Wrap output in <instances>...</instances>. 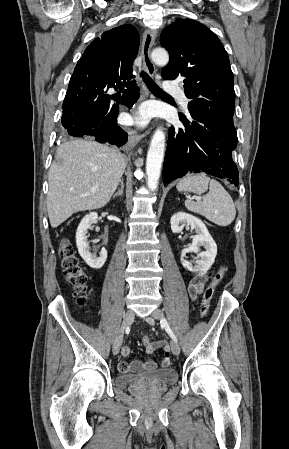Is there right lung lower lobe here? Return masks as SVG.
<instances>
[{
	"label": "right lung lower lobe",
	"mask_w": 289,
	"mask_h": 449,
	"mask_svg": "<svg viewBox=\"0 0 289 449\" xmlns=\"http://www.w3.org/2000/svg\"><path fill=\"white\" fill-rule=\"evenodd\" d=\"M122 86L128 90L121 104L131 109L139 98V89L134 81ZM110 87L116 86L71 77L62 105L61 122L66 136H95L100 143L109 142L118 147L127 142V133L117 124L119 103L113 104L110 96L104 94V89Z\"/></svg>",
	"instance_id": "right-lung-lower-lobe-1"
}]
</instances>
